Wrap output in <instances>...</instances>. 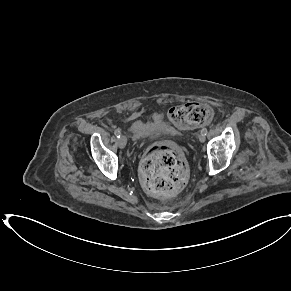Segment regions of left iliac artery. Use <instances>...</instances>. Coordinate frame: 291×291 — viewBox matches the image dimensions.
<instances>
[{
	"label": "left iliac artery",
	"mask_w": 291,
	"mask_h": 291,
	"mask_svg": "<svg viewBox=\"0 0 291 291\" xmlns=\"http://www.w3.org/2000/svg\"><path fill=\"white\" fill-rule=\"evenodd\" d=\"M201 132H202L204 135H206V134H207V128H203V129L201 130Z\"/></svg>",
	"instance_id": "44dca946"
}]
</instances>
